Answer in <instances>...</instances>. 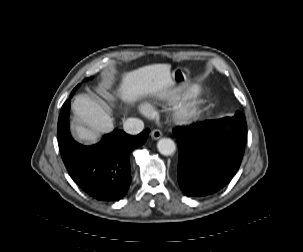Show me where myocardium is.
I'll return each instance as SVG.
<instances>
[{"mask_svg": "<svg viewBox=\"0 0 303 252\" xmlns=\"http://www.w3.org/2000/svg\"><path fill=\"white\" fill-rule=\"evenodd\" d=\"M198 112V107L194 104L181 105L175 112V119L185 122L195 117Z\"/></svg>", "mask_w": 303, "mask_h": 252, "instance_id": "myocardium-1", "label": "myocardium"}]
</instances>
